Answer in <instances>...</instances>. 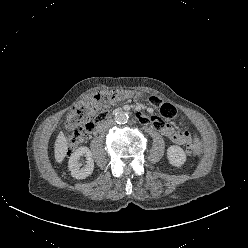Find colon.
<instances>
[{"instance_id": "1", "label": "colon", "mask_w": 248, "mask_h": 248, "mask_svg": "<svg viewBox=\"0 0 248 248\" xmlns=\"http://www.w3.org/2000/svg\"><path fill=\"white\" fill-rule=\"evenodd\" d=\"M126 91L112 90L96 94L78 103L69 113L66 125L70 133L66 136L68 154H72L83 142L87 135H90L95 128L93 122L99 115L108 111V107L114 102L128 97ZM186 151L190 155L198 152V146L189 142Z\"/></svg>"}]
</instances>
